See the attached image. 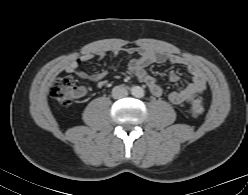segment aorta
<instances>
[{
  "label": "aorta",
  "mask_w": 248,
  "mask_h": 195,
  "mask_svg": "<svg viewBox=\"0 0 248 195\" xmlns=\"http://www.w3.org/2000/svg\"><path fill=\"white\" fill-rule=\"evenodd\" d=\"M132 95L137 97V98H141L144 96V90L143 88L136 86L132 89Z\"/></svg>",
  "instance_id": "obj_1"
}]
</instances>
